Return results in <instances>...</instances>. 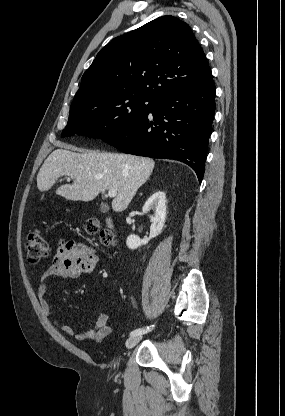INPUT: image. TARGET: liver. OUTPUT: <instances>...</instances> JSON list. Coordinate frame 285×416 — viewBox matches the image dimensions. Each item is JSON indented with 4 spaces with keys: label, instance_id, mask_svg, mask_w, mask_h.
<instances>
[{
    "label": "liver",
    "instance_id": "1",
    "mask_svg": "<svg viewBox=\"0 0 285 416\" xmlns=\"http://www.w3.org/2000/svg\"><path fill=\"white\" fill-rule=\"evenodd\" d=\"M55 146L64 150H54L37 176V188L47 192L61 176H70L73 184H65L56 190L57 196H63L73 202H91L105 190H117L118 196L112 202L114 212H124L133 200L137 190L149 180L154 160L127 156V154H101V152H69L77 150L56 142Z\"/></svg>",
    "mask_w": 285,
    "mask_h": 416
}]
</instances>
